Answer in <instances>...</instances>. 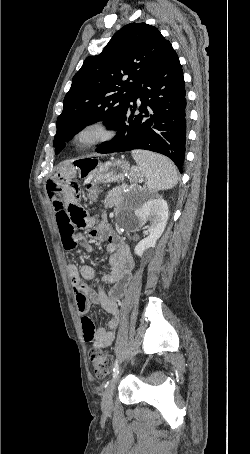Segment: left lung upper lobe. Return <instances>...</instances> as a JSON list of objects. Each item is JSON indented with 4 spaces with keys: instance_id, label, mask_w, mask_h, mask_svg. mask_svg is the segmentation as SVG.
<instances>
[{
    "instance_id": "5c2ea615",
    "label": "left lung upper lobe",
    "mask_w": 250,
    "mask_h": 454,
    "mask_svg": "<svg viewBox=\"0 0 250 454\" xmlns=\"http://www.w3.org/2000/svg\"><path fill=\"white\" fill-rule=\"evenodd\" d=\"M174 51L159 30L130 23L117 31L96 56L85 59L75 74L57 118L53 146L58 154L73 135L93 122L115 129L143 81Z\"/></svg>"
}]
</instances>
